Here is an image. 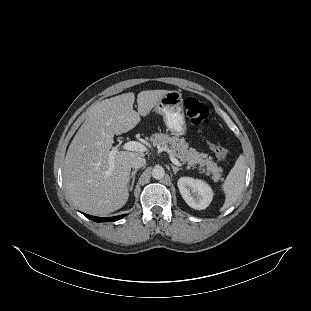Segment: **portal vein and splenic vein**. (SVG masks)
<instances>
[{
    "label": "portal vein and splenic vein",
    "mask_w": 311,
    "mask_h": 311,
    "mask_svg": "<svg viewBox=\"0 0 311 311\" xmlns=\"http://www.w3.org/2000/svg\"><path fill=\"white\" fill-rule=\"evenodd\" d=\"M123 149L125 150H128V151H135V152H145L146 151V147L138 142V141H129V142H126L124 145H123ZM118 152V147H113L112 150L109 152V170L112 171L113 168H114V160H115V155L116 153ZM169 158L171 160V162L180 167L182 166V164L180 163V161L172 154V152L169 153Z\"/></svg>",
    "instance_id": "1"
}]
</instances>
